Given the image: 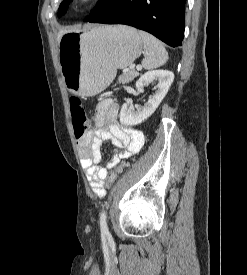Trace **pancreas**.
<instances>
[{"instance_id":"obj_1","label":"pancreas","mask_w":247,"mask_h":275,"mask_svg":"<svg viewBox=\"0 0 247 275\" xmlns=\"http://www.w3.org/2000/svg\"><path fill=\"white\" fill-rule=\"evenodd\" d=\"M139 75L138 71L135 70H129L125 73H123L122 75L119 76L118 80L123 83H129L130 81H132L134 78H136Z\"/></svg>"}]
</instances>
